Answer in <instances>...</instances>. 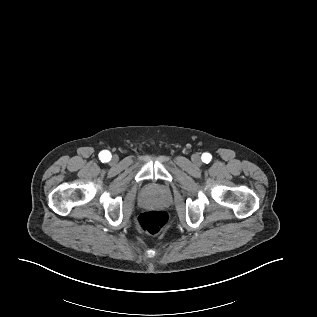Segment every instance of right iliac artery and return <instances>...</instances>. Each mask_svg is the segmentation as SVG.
I'll return each mask as SVG.
<instances>
[{
    "label": "right iliac artery",
    "instance_id": "1",
    "mask_svg": "<svg viewBox=\"0 0 317 317\" xmlns=\"http://www.w3.org/2000/svg\"><path fill=\"white\" fill-rule=\"evenodd\" d=\"M99 157H100L102 162H108L111 159V154L109 151L104 150V151L100 152Z\"/></svg>",
    "mask_w": 317,
    "mask_h": 317
}]
</instances>
